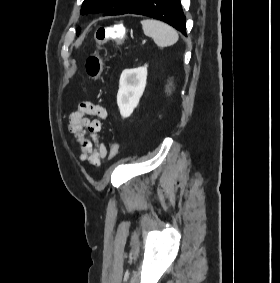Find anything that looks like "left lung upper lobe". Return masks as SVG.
<instances>
[{
  "mask_svg": "<svg viewBox=\"0 0 280 283\" xmlns=\"http://www.w3.org/2000/svg\"><path fill=\"white\" fill-rule=\"evenodd\" d=\"M143 0H84L81 14L103 13L104 15L126 14Z\"/></svg>",
  "mask_w": 280,
  "mask_h": 283,
  "instance_id": "obj_1",
  "label": "left lung upper lobe"
}]
</instances>
